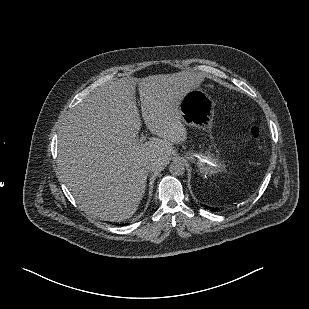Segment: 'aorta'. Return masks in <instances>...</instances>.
<instances>
[{"label":"aorta","instance_id":"obj_1","mask_svg":"<svg viewBox=\"0 0 309 309\" xmlns=\"http://www.w3.org/2000/svg\"><path fill=\"white\" fill-rule=\"evenodd\" d=\"M169 172L173 176H181L185 172V166L182 161H174L169 166Z\"/></svg>","mask_w":309,"mask_h":309}]
</instances>
